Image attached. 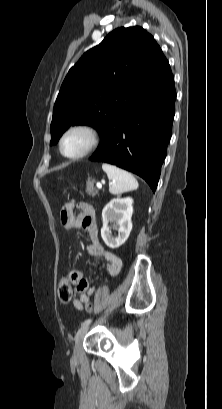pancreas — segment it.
Listing matches in <instances>:
<instances>
[{
	"instance_id": "1",
	"label": "pancreas",
	"mask_w": 222,
	"mask_h": 409,
	"mask_svg": "<svg viewBox=\"0 0 222 409\" xmlns=\"http://www.w3.org/2000/svg\"><path fill=\"white\" fill-rule=\"evenodd\" d=\"M86 191L89 195H92V196H95L97 194V190L94 187V180L87 181Z\"/></svg>"
}]
</instances>
